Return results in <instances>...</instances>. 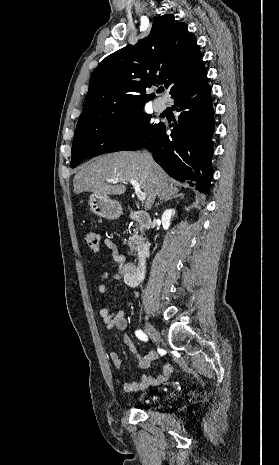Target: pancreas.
Segmentation results:
<instances>
[{
    "instance_id": "obj_1",
    "label": "pancreas",
    "mask_w": 279,
    "mask_h": 465,
    "mask_svg": "<svg viewBox=\"0 0 279 465\" xmlns=\"http://www.w3.org/2000/svg\"><path fill=\"white\" fill-rule=\"evenodd\" d=\"M140 231V227L136 226L133 229V234L129 237L128 245L131 253L136 251L143 241V236L139 234Z\"/></svg>"
}]
</instances>
